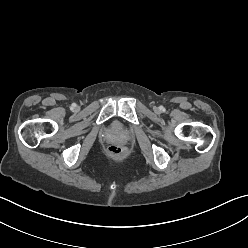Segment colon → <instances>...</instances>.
Here are the masks:
<instances>
[{
  "mask_svg": "<svg viewBox=\"0 0 248 248\" xmlns=\"http://www.w3.org/2000/svg\"><path fill=\"white\" fill-rule=\"evenodd\" d=\"M109 155L114 159L122 158L125 154V150L120 145H111L108 148Z\"/></svg>",
  "mask_w": 248,
  "mask_h": 248,
  "instance_id": "1",
  "label": "colon"
}]
</instances>
